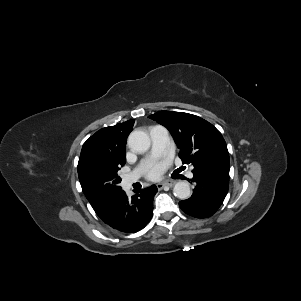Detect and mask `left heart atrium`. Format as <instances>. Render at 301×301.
Returning <instances> with one entry per match:
<instances>
[{"label": "left heart atrium", "instance_id": "obj_1", "mask_svg": "<svg viewBox=\"0 0 301 301\" xmlns=\"http://www.w3.org/2000/svg\"><path fill=\"white\" fill-rule=\"evenodd\" d=\"M168 161H157L146 165L145 175L150 180H157L167 169Z\"/></svg>", "mask_w": 301, "mask_h": 301}]
</instances>
